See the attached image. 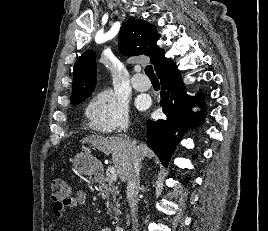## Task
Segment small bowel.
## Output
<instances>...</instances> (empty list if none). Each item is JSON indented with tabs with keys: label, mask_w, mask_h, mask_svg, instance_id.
Segmentation results:
<instances>
[{
	"label": "small bowel",
	"mask_w": 268,
	"mask_h": 231,
	"mask_svg": "<svg viewBox=\"0 0 268 231\" xmlns=\"http://www.w3.org/2000/svg\"><path fill=\"white\" fill-rule=\"evenodd\" d=\"M86 193L83 190H78L76 191L75 195L71 198L69 204H68V208L69 209H74L78 206H82L85 202H86ZM65 212V210H63L62 208H58L56 206H54V214L56 216H61L63 215V213Z\"/></svg>",
	"instance_id": "c3829d8e"
}]
</instances>
